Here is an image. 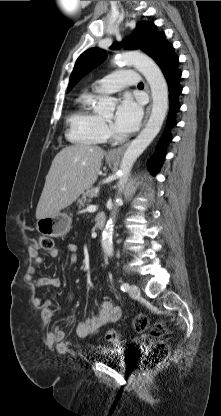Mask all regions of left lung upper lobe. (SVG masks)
I'll use <instances>...</instances> for the list:
<instances>
[{
  "label": "left lung upper lobe",
  "mask_w": 221,
  "mask_h": 416,
  "mask_svg": "<svg viewBox=\"0 0 221 416\" xmlns=\"http://www.w3.org/2000/svg\"><path fill=\"white\" fill-rule=\"evenodd\" d=\"M164 33L156 30L153 23L138 22L136 29L127 45V49H140L146 54H150L160 37ZM122 43H114L113 48L118 49ZM105 57V52L99 48H90L83 52L77 59L73 72L70 77L68 90L88 71L99 64Z\"/></svg>",
  "instance_id": "1"
}]
</instances>
